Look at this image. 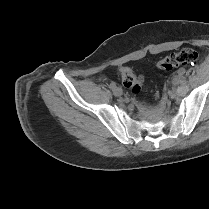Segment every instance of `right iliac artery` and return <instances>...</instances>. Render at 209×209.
Wrapping results in <instances>:
<instances>
[{
	"label": "right iliac artery",
	"mask_w": 209,
	"mask_h": 209,
	"mask_svg": "<svg viewBox=\"0 0 209 209\" xmlns=\"http://www.w3.org/2000/svg\"><path fill=\"white\" fill-rule=\"evenodd\" d=\"M110 88H111V89L116 88V83H115V82H111V83H110Z\"/></svg>",
	"instance_id": "1"
}]
</instances>
